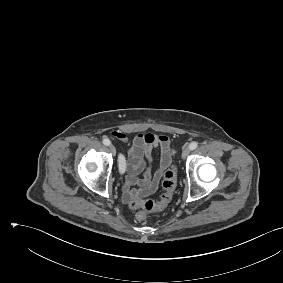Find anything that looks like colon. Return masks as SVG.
Returning a JSON list of instances; mask_svg holds the SVG:
<instances>
[{
	"label": "colon",
	"mask_w": 283,
	"mask_h": 283,
	"mask_svg": "<svg viewBox=\"0 0 283 283\" xmlns=\"http://www.w3.org/2000/svg\"><path fill=\"white\" fill-rule=\"evenodd\" d=\"M177 185V172L175 167L168 169L165 172L164 179L162 182V186L164 189V193L162 194L160 200L154 201L151 199L148 200H139L134 198L130 201L129 207L131 210L136 211V217L139 220L144 219L148 214L154 212H160L170 203L175 188Z\"/></svg>",
	"instance_id": "obj_1"
}]
</instances>
